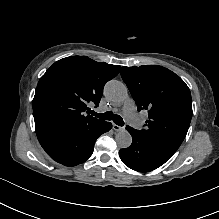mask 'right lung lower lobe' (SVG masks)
Masks as SVG:
<instances>
[{
  "mask_svg": "<svg viewBox=\"0 0 219 219\" xmlns=\"http://www.w3.org/2000/svg\"><path fill=\"white\" fill-rule=\"evenodd\" d=\"M111 128L110 122L103 121L89 129L46 132L37 134V137L53 160L65 166H75L92 155L96 139Z\"/></svg>",
  "mask_w": 219,
  "mask_h": 219,
  "instance_id": "obj_1",
  "label": "right lung lower lobe"
}]
</instances>
